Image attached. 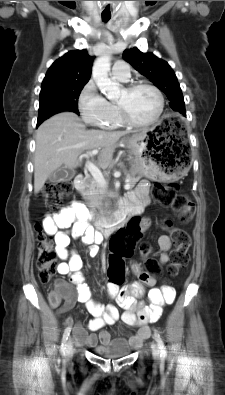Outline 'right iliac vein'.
<instances>
[{"label":"right iliac vein","instance_id":"1","mask_svg":"<svg viewBox=\"0 0 225 395\" xmlns=\"http://www.w3.org/2000/svg\"><path fill=\"white\" fill-rule=\"evenodd\" d=\"M74 353V348H73V341L70 338L67 342V346H66V359L70 360L73 356Z\"/></svg>","mask_w":225,"mask_h":395}]
</instances>
